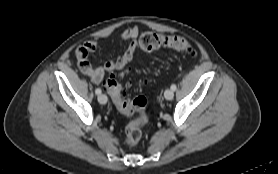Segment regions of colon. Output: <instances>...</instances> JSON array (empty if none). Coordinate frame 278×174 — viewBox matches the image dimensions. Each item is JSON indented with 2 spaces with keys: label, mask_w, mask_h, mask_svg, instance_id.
Returning a JSON list of instances; mask_svg holds the SVG:
<instances>
[{
  "label": "colon",
  "mask_w": 278,
  "mask_h": 174,
  "mask_svg": "<svg viewBox=\"0 0 278 174\" xmlns=\"http://www.w3.org/2000/svg\"><path fill=\"white\" fill-rule=\"evenodd\" d=\"M139 45L144 51H154L161 47L170 48L179 52L195 56L196 52L191 44L181 36L165 35L154 32H146L141 35ZM105 88L111 96L117 108L124 114L136 117L125 129V142L135 145L141 138V127L147 123L146 112L147 100L145 97H137L131 101L127 100V86L124 85L116 75H110L105 82Z\"/></svg>",
  "instance_id": "colon-1"
}]
</instances>
